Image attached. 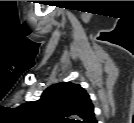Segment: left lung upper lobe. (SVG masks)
I'll list each match as a JSON object with an SVG mask.
<instances>
[{
  "label": "left lung upper lobe",
  "instance_id": "obj_1",
  "mask_svg": "<svg viewBox=\"0 0 134 123\" xmlns=\"http://www.w3.org/2000/svg\"><path fill=\"white\" fill-rule=\"evenodd\" d=\"M37 117L65 123H80L68 116L77 114L82 123H94V107L84 88L79 84L62 82L48 87L37 101L23 105Z\"/></svg>",
  "mask_w": 134,
  "mask_h": 123
}]
</instances>
